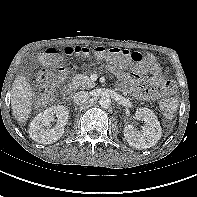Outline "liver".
<instances>
[{
  "label": "liver",
  "mask_w": 197,
  "mask_h": 197,
  "mask_svg": "<svg viewBox=\"0 0 197 197\" xmlns=\"http://www.w3.org/2000/svg\"><path fill=\"white\" fill-rule=\"evenodd\" d=\"M12 114L20 123H24L31 112L32 89L29 80L24 75H18L11 89Z\"/></svg>",
  "instance_id": "1"
}]
</instances>
